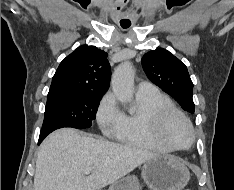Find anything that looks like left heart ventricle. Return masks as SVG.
<instances>
[{"instance_id": "b2bd125f", "label": "left heart ventricle", "mask_w": 234, "mask_h": 190, "mask_svg": "<svg viewBox=\"0 0 234 190\" xmlns=\"http://www.w3.org/2000/svg\"><path fill=\"white\" fill-rule=\"evenodd\" d=\"M166 134L176 145H186L190 140V134L186 125L178 117H174L170 120L166 129Z\"/></svg>"}]
</instances>
